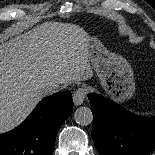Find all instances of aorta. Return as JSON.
I'll return each instance as SVG.
<instances>
[{
    "instance_id": "aorta-1",
    "label": "aorta",
    "mask_w": 155,
    "mask_h": 155,
    "mask_svg": "<svg viewBox=\"0 0 155 155\" xmlns=\"http://www.w3.org/2000/svg\"><path fill=\"white\" fill-rule=\"evenodd\" d=\"M74 119L77 124L87 126L93 122V114L88 107H79L74 113Z\"/></svg>"
}]
</instances>
